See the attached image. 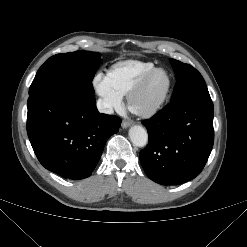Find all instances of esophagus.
I'll return each instance as SVG.
<instances>
[{"label":"esophagus","mask_w":247,"mask_h":247,"mask_svg":"<svg viewBox=\"0 0 247 247\" xmlns=\"http://www.w3.org/2000/svg\"><path fill=\"white\" fill-rule=\"evenodd\" d=\"M132 123H133V121H131V120L123 121L121 126H122V128H128L129 126H131Z\"/></svg>","instance_id":"34e87169"}]
</instances>
